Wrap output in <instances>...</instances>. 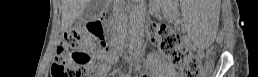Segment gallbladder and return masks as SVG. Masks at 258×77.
I'll list each match as a JSON object with an SVG mask.
<instances>
[{"label": "gallbladder", "instance_id": "bac80fb5", "mask_svg": "<svg viewBox=\"0 0 258 77\" xmlns=\"http://www.w3.org/2000/svg\"><path fill=\"white\" fill-rule=\"evenodd\" d=\"M101 1L98 0H90L86 5L85 9L81 14V21L86 22L88 20H92L98 16V14L102 11V6L98 3Z\"/></svg>", "mask_w": 258, "mask_h": 77}]
</instances>
